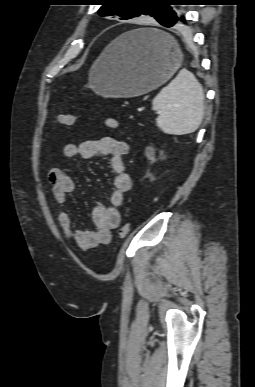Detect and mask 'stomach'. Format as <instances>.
<instances>
[{"label": "stomach", "mask_w": 255, "mask_h": 387, "mask_svg": "<svg viewBox=\"0 0 255 387\" xmlns=\"http://www.w3.org/2000/svg\"><path fill=\"white\" fill-rule=\"evenodd\" d=\"M157 39H143L145 33ZM182 52L168 34L155 29L124 33L105 48L89 72L93 91L104 97H135L165 83L181 66Z\"/></svg>", "instance_id": "obj_1"}]
</instances>
